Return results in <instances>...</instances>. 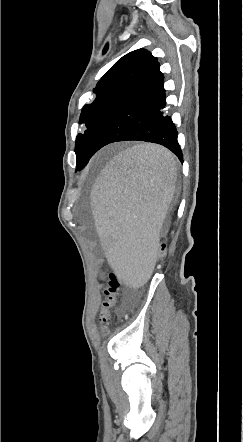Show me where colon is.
I'll return each instance as SVG.
<instances>
[{
    "label": "colon",
    "instance_id": "1",
    "mask_svg": "<svg viewBox=\"0 0 243 442\" xmlns=\"http://www.w3.org/2000/svg\"><path fill=\"white\" fill-rule=\"evenodd\" d=\"M160 242L161 247L159 248V251H155L153 253L154 260L156 262H163L169 251L170 243L168 237H161ZM103 276L106 278L107 287L103 293L104 299L102 301H98L97 304L101 307L99 313V324L105 329L111 321L112 311L116 305L121 284L124 283V280L118 277L117 273L114 272L112 267H109L106 271H104Z\"/></svg>",
    "mask_w": 243,
    "mask_h": 442
}]
</instances>
